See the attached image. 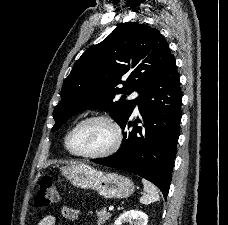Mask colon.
Returning <instances> with one entry per match:
<instances>
[{
	"label": "colon",
	"mask_w": 228,
	"mask_h": 225,
	"mask_svg": "<svg viewBox=\"0 0 228 225\" xmlns=\"http://www.w3.org/2000/svg\"><path fill=\"white\" fill-rule=\"evenodd\" d=\"M56 182L49 176H43L40 180V189L35 196V203L39 207H47L58 198Z\"/></svg>",
	"instance_id": "5ec220e1"
}]
</instances>
